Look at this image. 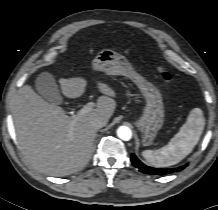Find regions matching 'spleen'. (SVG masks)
I'll list each match as a JSON object with an SVG mask.
<instances>
[{"label":"spleen","instance_id":"spleen-1","mask_svg":"<svg viewBox=\"0 0 218 210\" xmlns=\"http://www.w3.org/2000/svg\"><path fill=\"white\" fill-rule=\"evenodd\" d=\"M205 125L199 108L191 110L187 121L170 142L158 150H144L142 156L153 166L169 167L179 163L198 143Z\"/></svg>","mask_w":218,"mask_h":210}]
</instances>
